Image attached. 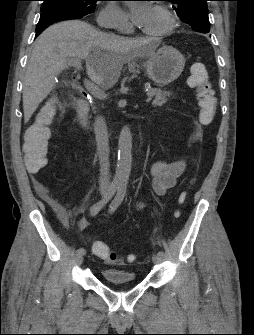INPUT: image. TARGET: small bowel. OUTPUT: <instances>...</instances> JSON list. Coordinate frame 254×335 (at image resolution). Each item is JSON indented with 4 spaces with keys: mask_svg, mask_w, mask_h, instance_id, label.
I'll return each mask as SVG.
<instances>
[{
    "mask_svg": "<svg viewBox=\"0 0 254 335\" xmlns=\"http://www.w3.org/2000/svg\"><path fill=\"white\" fill-rule=\"evenodd\" d=\"M184 170H185L184 161H174V162L158 161L154 163L151 169L153 175L152 186L154 192L160 196L165 195L168 190H170L176 185L178 178L182 175ZM61 222L64 226L66 227L69 226L70 217L66 216L62 218ZM87 225H88L87 219H82L78 225V230L85 229ZM95 242L103 244V242L101 241H95ZM93 253L95 254L94 250Z\"/></svg>",
    "mask_w": 254,
    "mask_h": 335,
    "instance_id": "1",
    "label": "small bowel"
}]
</instances>
